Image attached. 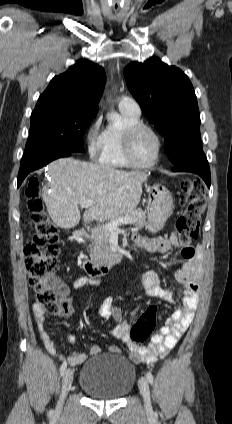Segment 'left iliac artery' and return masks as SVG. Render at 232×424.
<instances>
[{
  "label": "left iliac artery",
  "instance_id": "left-iliac-artery-1",
  "mask_svg": "<svg viewBox=\"0 0 232 424\" xmlns=\"http://www.w3.org/2000/svg\"><path fill=\"white\" fill-rule=\"evenodd\" d=\"M146 377L149 383L153 384V375L151 374V372H147Z\"/></svg>",
  "mask_w": 232,
  "mask_h": 424
}]
</instances>
